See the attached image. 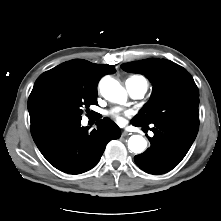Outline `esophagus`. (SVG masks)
Masks as SVG:
<instances>
[{
    "label": "esophagus",
    "instance_id": "esophagus-1",
    "mask_svg": "<svg viewBox=\"0 0 221 221\" xmlns=\"http://www.w3.org/2000/svg\"><path fill=\"white\" fill-rule=\"evenodd\" d=\"M129 132H128V130H126V129H124L123 130V132H122V134L125 136V135H127Z\"/></svg>",
    "mask_w": 221,
    "mask_h": 221
}]
</instances>
